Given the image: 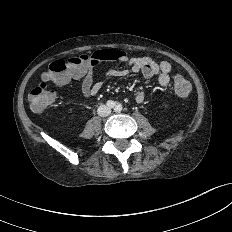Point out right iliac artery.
I'll list each match as a JSON object with an SVG mask.
<instances>
[{"label": "right iliac artery", "mask_w": 232, "mask_h": 232, "mask_svg": "<svg viewBox=\"0 0 232 232\" xmlns=\"http://www.w3.org/2000/svg\"><path fill=\"white\" fill-rule=\"evenodd\" d=\"M107 106H108V107H110V108H112V107H114V106H115V102H114V101L109 100V101H107Z\"/></svg>", "instance_id": "right-iliac-artery-1"}]
</instances>
